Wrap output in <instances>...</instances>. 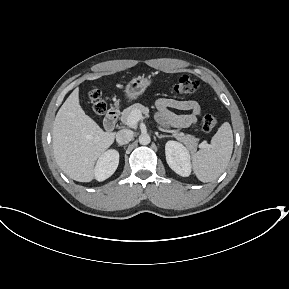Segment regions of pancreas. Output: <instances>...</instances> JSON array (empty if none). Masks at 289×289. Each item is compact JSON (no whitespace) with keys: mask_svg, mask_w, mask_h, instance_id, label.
Masks as SVG:
<instances>
[{"mask_svg":"<svg viewBox=\"0 0 289 289\" xmlns=\"http://www.w3.org/2000/svg\"><path fill=\"white\" fill-rule=\"evenodd\" d=\"M135 110L140 111L141 113H144L146 115L149 112V109L147 107L143 106L140 103H135V104H133V105H131L128 108L123 110V112L121 113V117H120L121 122L128 125V121H127L128 117ZM131 127H133V126H131ZM173 136L177 140H179L180 142L184 143L191 152L196 151L197 144L199 141L198 138H195L192 135L184 134V133H174Z\"/></svg>","mask_w":289,"mask_h":289,"instance_id":"obj_1","label":"pancreas"}]
</instances>
